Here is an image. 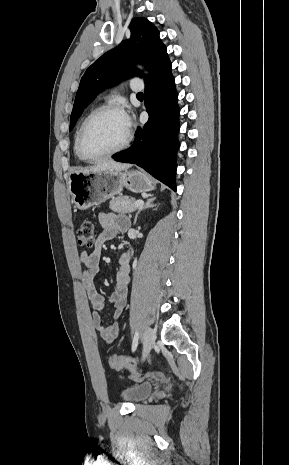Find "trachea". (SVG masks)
I'll list each match as a JSON object with an SVG mask.
<instances>
[{
	"label": "trachea",
	"instance_id": "obj_1",
	"mask_svg": "<svg viewBox=\"0 0 289 465\" xmlns=\"http://www.w3.org/2000/svg\"><path fill=\"white\" fill-rule=\"evenodd\" d=\"M137 96H143L142 92L137 93Z\"/></svg>",
	"mask_w": 289,
	"mask_h": 465
}]
</instances>
